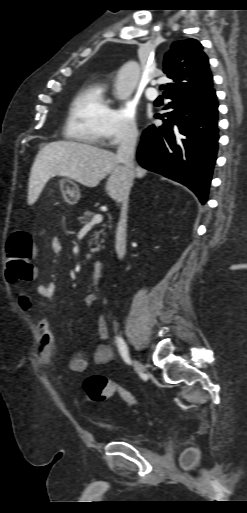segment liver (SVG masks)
Listing matches in <instances>:
<instances>
[{
  "label": "liver",
  "mask_w": 247,
  "mask_h": 513,
  "mask_svg": "<svg viewBox=\"0 0 247 513\" xmlns=\"http://www.w3.org/2000/svg\"><path fill=\"white\" fill-rule=\"evenodd\" d=\"M146 170L137 167L128 175L116 155L88 144L71 141H57L44 146L37 154L32 166L28 202H34L45 183L54 176H66L76 182L95 187L107 175L105 190L118 201L122 193L130 191L133 178L143 177Z\"/></svg>",
  "instance_id": "liver-1"
}]
</instances>
